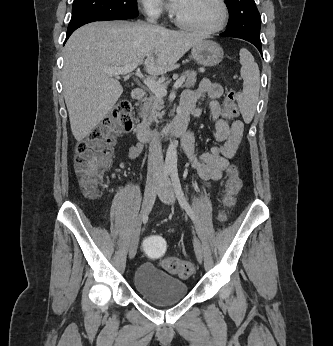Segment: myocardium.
Returning a JSON list of instances; mask_svg holds the SVG:
<instances>
[{
	"label": "myocardium",
	"instance_id": "obj_1",
	"mask_svg": "<svg viewBox=\"0 0 333 346\" xmlns=\"http://www.w3.org/2000/svg\"><path fill=\"white\" fill-rule=\"evenodd\" d=\"M216 1L221 8V18H220V21L218 22L217 25L210 27V28H201V27H198V26H195L191 23L186 22L177 13H175L174 14V20H175L176 24L183 29L193 31L196 33H200V34H205V35L215 34L217 32H220L221 30H223L225 28V26L228 23L229 9H228V5H227L225 0H216Z\"/></svg>",
	"mask_w": 333,
	"mask_h": 346
}]
</instances>
